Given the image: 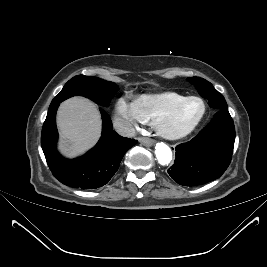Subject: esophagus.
<instances>
[{
  "mask_svg": "<svg viewBox=\"0 0 267 267\" xmlns=\"http://www.w3.org/2000/svg\"><path fill=\"white\" fill-rule=\"evenodd\" d=\"M139 142L145 146H152L154 144V140L144 137H140Z\"/></svg>",
  "mask_w": 267,
  "mask_h": 267,
  "instance_id": "34e87169",
  "label": "esophagus"
}]
</instances>
